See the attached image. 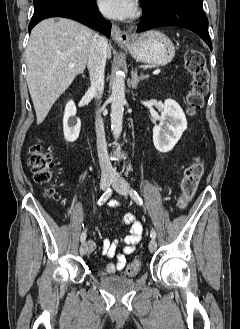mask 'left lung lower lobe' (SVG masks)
Masks as SVG:
<instances>
[{
	"mask_svg": "<svg viewBox=\"0 0 240 329\" xmlns=\"http://www.w3.org/2000/svg\"><path fill=\"white\" fill-rule=\"evenodd\" d=\"M142 4V20L137 32L162 26H179L198 34L212 50L208 33V19L203 12L202 0L145 1Z\"/></svg>",
	"mask_w": 240,
	"mask_h": 329,
	"instance_id": "left-lung-lower-lobe-1",
	"label": "left lung lower lobe"
}]
</instances>
